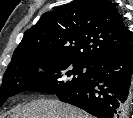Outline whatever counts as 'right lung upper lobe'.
Listing matches in <instances>:
<instances>
[{
  "mask_svg": "<svg viewBox=\"0 0 133 118\" xmlns=\"http://www.w3.org/2000/svg\"><path fill=\"white\" fill-rule=\"evenodd\" d=\"M130 43L110 0H74L44 13L15 49L7 69L57 58L94 66Z\"/></svg>",
  "mask_w": 133,
  "mask_h": 118,
  "instance_id": "1",
  "label": "right lung upper lobe"
}]
</instances>
